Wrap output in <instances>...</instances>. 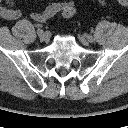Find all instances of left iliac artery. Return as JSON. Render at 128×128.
<instances>
[{"label": "left iliac artery", "mask_w": 128, "mask_h": 128, "mask_svg": "<svg viewBox=\"0 0 128 128\" xmlns=\"http://www.w3.org/2000/svg\"><path fill=\"white\" fill-rule=\"evenodd\" d=\"M87 38H88L91 42L94 41V38H93V36H91V35H88Z\"/></svg>", "instance_id": "1"}]
</instances>
